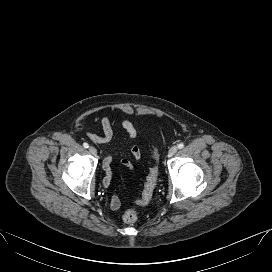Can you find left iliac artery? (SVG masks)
I'll return each mask as SVG.
<instances>
[{
  "instance_id": "obj_1",
  "label": "left iliac artery",
  "mask_w": 272,
  "mask_h": 272,
  "mask_svg": "<svg viewBox=\"0 0 272 272\" xmlns=\"http://www.w3.org/2000/svg\"><path fill=\"white\" fill-rule=\"evenodd\" d=\"M184 147V143H180L179 145H178V148L179 149H182Z\"/></svg>"
}]
</instances>
